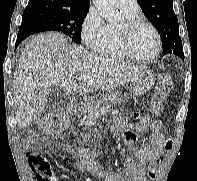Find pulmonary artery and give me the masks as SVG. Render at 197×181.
<instances>
[{
    "instance_id": "1",
    "label": "pulmonary artery",
    "mask_w": 197,
    "mask_h": 181,
    "mask_svg": "<svg viewBox=\"0 0 197 181\" xmlns=\"http://www.w3.org/2000/svg\"><path fill=\"white\" fill-rule=\"evenodd\" d=\"M121 11L135 12L139 11V5L136 0H117Z\"/></svg>"
}]
</instances>
